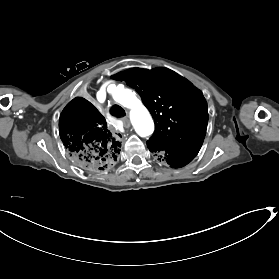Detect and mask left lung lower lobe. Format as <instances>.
<instances>
[{
	"label": "left lung lower lobe",
	"instance_id": "1",
	"mask_svg": "<svg viewBox=\"0 0 279 279\" xmlns=\"http://www.w3.org/2000/svg\"><path fill=\"white\" fill-rule=\"evenodd\" d=\"M147 146L150 152L158 155L162 161H166L172 168H179L187 165L198 154V151L194 150L162 148L150 143H147Z\"/></svg>",
	"mask_w": 279,
	"mask_h": 279
}]
</instances>
